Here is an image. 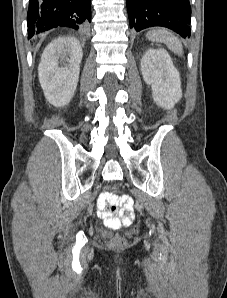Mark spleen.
I'll return each instance as SVG.
<instances>
[{
    "instance_id": "3e777b00",
    "label": "spleen",
    "mask_w": 227,
    "mask_h": 298,
    "mask_svg": "<svg viewBox=\"0 0 227 298\" xmlns=\"http://www.w3.org/2000/svg\"><path fill=\"white\" fill-rule=\"evenodd\" d=\"M146 37L152 42H160L166 44L177 55L183 54V46L177 37L164 29H155L149 31Z\"/></svg>"
}]
</instances>
